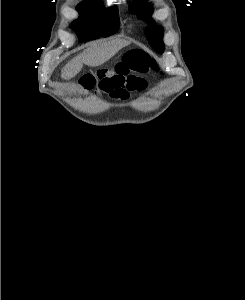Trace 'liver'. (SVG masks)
I'll list each match as a JSON object with an SVG mask.
<instances>
[{"label": "liver", "mask_w": 245, "mask_h": 300, "mask_svg": "<svg viewBox=\"0 0 245 300\" xmlns=\"http://www.w3.org/2000/svg\"><path fill=\"white\" fill-rule=\"evenodd\" d=\"M128 44V41L122 39L93 43L65 65L61 77L66 80L75 77L81 71L83 64L91 67L100 66Z\"/></svg>", "instance_id": "liver-1"}]
</instances>
